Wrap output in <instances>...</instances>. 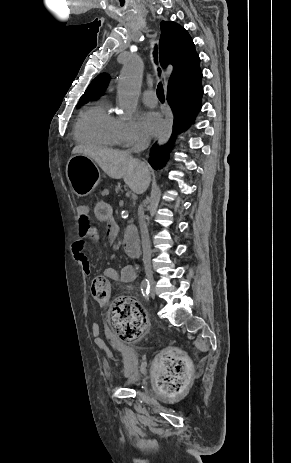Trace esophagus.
Segmentation results:
<instances>
[{"label":"esophagus","mask_w":291,"mask_h":463,"mask_svg":"<svg viewBox=\"0 0 291 463\" xmlns=\"http://www.w3.org/2000/svg\"><path fill=\"white\" fill-rule=\"evenodd\" d=\"M170 133H171V125L169 122H167L164 131L159 136L158 143L163 144L164 142H166Z\"/></svg>","instance_id":"esophagus-1"}]
</instances>
